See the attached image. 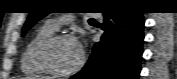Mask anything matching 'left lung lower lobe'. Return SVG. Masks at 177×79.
Returning <instances> with one entry per match:
<instances>
[{
  "label": "left lung lower lobe",
  "mask_w": 177,
  "mask_h": 79,
  "mask_svg": "<svg viewBox=\"0 0 177 79\" xmlns=\"http://www.w3.org/2000/svg\"><path fill=\"white\" fill-rule=\"evenodd\" d=\"M101 41L81 72L71 79H138L142 57V12H104Z\"/></svg>",
  "instance_id": "0a47b994"
}]
</instances>
